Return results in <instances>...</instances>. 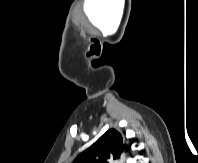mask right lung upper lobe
Returning <instances> with one entry per match:
<instances>
[{"mask_svg":"<svg viewBox=\"0 0 198 163\" xmlns=\"http://www.w3.org/2000/svg\"><path fill=\"white\" fill-rule=\"evenodd\" d=\"M128 151L129 147L122 143L121 134L115 129H110L83 151L73 163H109V160H116L122 152Z\"/></svg>","mask_w":198,"mask_h":163,"instance_id":"obj_1","label":"right lung upper lobe"}]
</instances>
